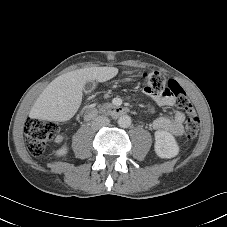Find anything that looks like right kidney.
Listing matches in <instances>:
<instances>
[{"label": "right kidney", "instance_id": "obj_1", "mask_svg": "<svg viewBox=\"0 0 227 227\" xmlns=\"http://www.w3.org/2000/svg\"><path fill=\"white\" fill-rule=\"evenodd\" d=\"M68 152V148L66 146L60 148L59 150L56 151V155L58 156H64Z\"/></svg>", "mask_w": 227, "mask_h": 227}]
</instances>
